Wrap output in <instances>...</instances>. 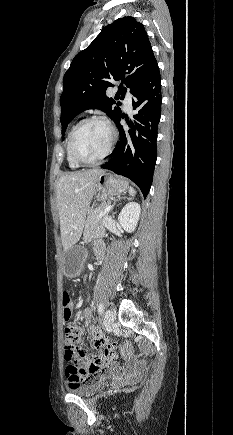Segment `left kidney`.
I'll list each match as a JSON object with an SVG mask.
<instances>
[{"label":"left kidney","mask_w":233,"mask_h":435,"mask_svg":"<svg viewBox=\"0 0 233 435\" xmlns=\"http://www.w3.org/2000/svg\"><path fill=\"white\" fill-rule=\"evenodd\" d=\"M141 208L137 202H129L121 210L118 221L123 229L129 233L134 232L139 221Z\"/></svg>","instance_id":"5707ae66"}]
</instances>
